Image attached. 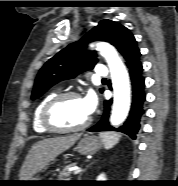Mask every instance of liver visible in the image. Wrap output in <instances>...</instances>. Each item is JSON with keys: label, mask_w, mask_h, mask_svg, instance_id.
<instances>
[{"label": "liver", "mask_w": 178, "mask_h": 186, "mask_svg": "<svg viewBox=\"0 0 178 186\" xmlns=\"http://www.w3.org/2000/svg\"><path fill=\"white\" fill-rule=\"evenodd\" d=\"M80 137L81 134L58 136L35 143L21 167L20 180H30L35 174L42 171L55 157L74 145Z\"/></svg>", "instance_id": "liver-1"}]
</instances>
